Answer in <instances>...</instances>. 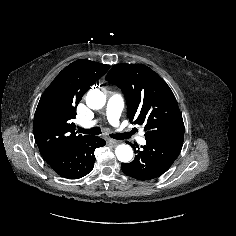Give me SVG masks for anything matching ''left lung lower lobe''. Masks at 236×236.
<instances>
[{"instance_id": "obj_1", "label": "left lung lower lobe", "mask_w": 236, "mask_h": 236, "mask_svg": "<svg viewBox=\"0 0 236 236\" xmlns=\"http://www.w3.org/2000/svg\"><path fill=\"white\" fill-rule=\"evenodd\" d=\"M184 134L162 138L146 139L143 150H135V159L131 163H122V171L141 181L156 179L164 174L181 152Z\"/></svg>"}]
</instances>
